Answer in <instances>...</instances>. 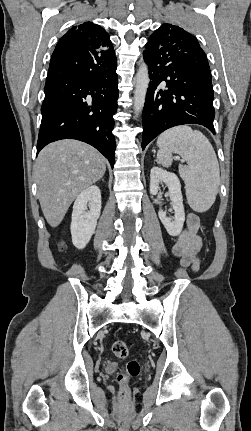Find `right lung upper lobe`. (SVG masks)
<instances>
[{"instance_id":"1","label":"right lung upper lobe","mask_w":251,"mask_h":431,"mask_svg":"<svg viewBox=\"0 0 251 431\" xmlns=\"http://www.w3.org/2000/svg\"><path fill=\"white\" fill-rule=\"evenodd\" d=\"M56 50L74 54L93 50L98 52L106 61H112L116 58L109 35L103 28L92 22H85L72 27L61 37L56 45Z\"/></svg>"}]
</instances>
